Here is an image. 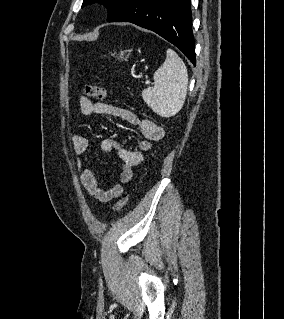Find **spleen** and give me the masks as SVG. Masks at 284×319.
Instances as JSON below:
<instances>
[{
    "label": "spleen",
    "mask_w": 284,
    "mask_h": 319,
    "mask_svg": "<svg viewBox=\"0 0 284 319\" xmlns=\"http://www.w3.org/2000/svg\"><path fill=\"white\" fill-rule=\"evenodd\" d=\"M154 85L142 91L147 105L161 117H171L183 107L188 86V73L182 59L167 49L165 62L155 71Z\"/></svg>",
    "instance_id": "1"
}]
</instances>
